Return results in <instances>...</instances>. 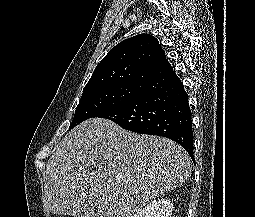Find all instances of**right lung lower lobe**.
<instances>
[{"mask_svg": "<svg viewBox=\"0 0 255 217\" xmlns=\"http://www.w3.org/2000/svg\"><path fill=\"white\" fill-rule=\"evenodd\" d=\"M95 117L112 120L126 130L174 140L194 158L188 95L175 71L151 82L128 102Z\"/></svg>", "mask_w": 255, "mask_h": 217, "instance_id": "1", "label": "right lung lower lobe"}]
</instances>
